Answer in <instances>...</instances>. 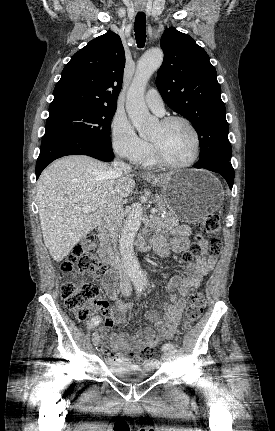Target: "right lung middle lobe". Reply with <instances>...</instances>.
<instances>
[{"mask_svg": "<svg viewBox=\"0 0 275 431\" xmlns=\"http://www.w3.org/2000/svg\"><path fill=\"white\" fill-rule=\"evenodd\" d=\"M116 107H80L49 113L44 138L69 136L112 148L110 122Z\"/></svg>", "mask_w": 275, "mask_h": 431, "instance_id": "obj_1", "label": "right lung middle lobe"}]
</instances>
